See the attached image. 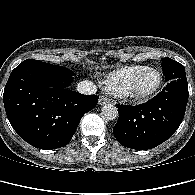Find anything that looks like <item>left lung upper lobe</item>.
Here are the masks:
<instances>
[{"label": "left lung upper lobe", "instance_id": "obj_1", "mask_svg": "<svg viewBox=\"0 0 195 195\" xmlns=\"http://www.w3.org/2000/svg\"><path fill=\"white\" fill-rule=\"evenodd\" d=\"M162 67L166 81L179 78L187 79L184 66L171 58H162Z\"/></svg>", "mask_w": 195, "mask_h": 195}]
</instances>
